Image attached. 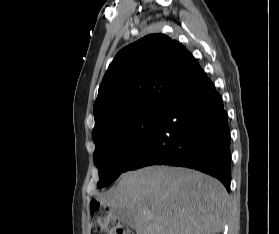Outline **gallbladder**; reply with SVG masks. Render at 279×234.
<instances>
[{
    "label": "gallbladder",
    "instance_id": "obj_1",
    "mask_svg": "<svg viewBox=\"0 0 279 234\" xmlns=\"http://www.w3.org/2000/svg\"><path fill=\"white\" fill-rule=\"evenodd\" d=\"M110 213L113 217L117 218L126 226L134 229L135 228V221L132 214L127 209L121 208H113L110 210Z\"/></svg>",
    "mask_w": 279,
    "mask_h": 234
}]
</instances>
